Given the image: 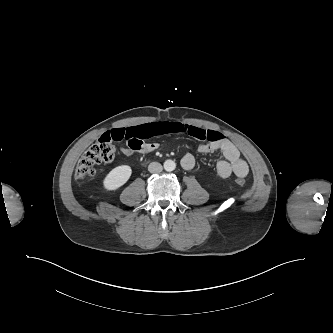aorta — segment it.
Masks as SVG:
<instances>
[{
  "mask_svg": "<svg viewBox=\"0 0 333 333\" xmlns=\"http://www.w3.org/2000/svg\"><path fill=\"white\" fill-rule=\"evenodd\" d=\"M176 168V163L173 160H166L164 162V169L166 171H173Z\"/></svg>",
  "mask_w": 333,
  "mask_h": 333,
  "instance_id": "762f6f07",
  "label": "aorta"
}]
</instances>
